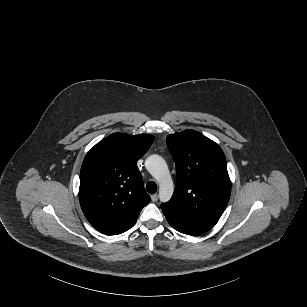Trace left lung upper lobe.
Returning <instances> with one entry per match:
<instances>
[{"label": "left lung upper lobe", "instance_id": "obj_1", "mask_svg": "<svg viewBox=\"0 0 307 307\" xmlns=\"http://www.w3.org/2000/svg\"><path fill=\"white\" fill-rule=\"evenodd\" d=\"M166 142L176 163V187L161 208L183 224L206 232L217 223L230 198L225 155L218 144L194 130L170 134Z\"/></svg>", "mask_w": 307, "mask_h": 307}]
</instances>
